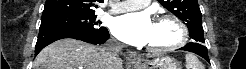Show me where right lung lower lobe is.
<instances>
[{
    "label": "right lung lower lobe",
    "mask_w": 246,
    "mask_h": 69,
    "mask_svg": "<svg viewBox=\"0 0 246 69\" xmlns=\"http://www.w3.org/2000/svg\"><path fill=\"white\" fill-rule=\"evenodd\" d=\"M64 38H74L92 44H102L109 39L108 30L104 27L97 31H84L80 29L48 28L40 29L35 47L37 55L45 46Z\"/></svg>",
    "instance_id": "98d812e1"
}]
</instances>
